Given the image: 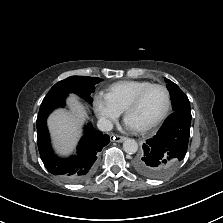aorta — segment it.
<instances>
[{"instance_id": "obj_1", "label": "aorta", "mask_w": 223, "mask_h": 223, "mask_svg": "<svg viewBox=\"0 0 223 223\" xmlns=\"http://www.w3.org/2000/svg\"><path fill=\"white\" fill-rule=\"evenodd\" d=\"M123 150L128 154H134L138 150V144L134 139H126L123 142Z\"/></svg>"}]
</instances>
